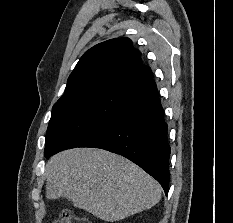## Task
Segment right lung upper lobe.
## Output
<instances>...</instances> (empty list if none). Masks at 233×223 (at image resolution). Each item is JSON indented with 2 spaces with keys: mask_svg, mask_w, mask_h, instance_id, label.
<instances>
[{
  "mask_svg": "<svg viewBox=\"0 0 233 223\" xmlns=\"http://www.w3.org/2000/svg\"><path fill=\"white\" fill-rule=\"evenodd\" d=\"M153 78L129 38H115L89 49L68 78L63 96L93 90H121ZM62 96V97H63Z\"/></svg>",
  "mask_w": 233,
  "mask_h": 223,
  "instance_id": "right-lung-upper-lobe-1",
  "label": "right lung upper lobe"
}]
</instances>
